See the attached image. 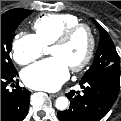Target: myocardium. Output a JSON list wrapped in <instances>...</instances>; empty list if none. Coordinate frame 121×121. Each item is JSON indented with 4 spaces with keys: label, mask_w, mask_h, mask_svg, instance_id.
<instances>
[{
    "label": "myocardium",
    "mask_w": 121,
    "mask_h": 121,
    "mask_svg": "<svg viewBox=\"0 0 121 121\" xmlns=\"http://www.w3.org/2000/svg\"><path fill=\"white\" fill-rule=\"evenodd\" d=\"M84 30L88 36V49L86 52L85 57L80 61L78 64L71 66V70L73 72H79L83 70L92 60L95 47H96V38L95 34L92 30V28L86 24V23H79L76 25H73L66 29L52 44L55 45H64L67 42H69L75 34H77L79 31Z\"/></svg>",
    "instance_id": "f54148a6"
}]
</instances>
